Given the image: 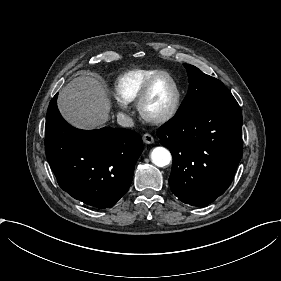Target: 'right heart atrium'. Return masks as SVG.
I'll use <instances>...</instances> for the list:
<instances>
[{
	"instance_id": "right-heart-atrium-1",
	"label": "right heart atrium",
	"mask_w": 281,
	"mask_h": 281,
	"mask_svg": "<svg viewBox=\"0 0 281 281\" xmlns=\"http://www.w3.org/2000/svg\"><path fill=\"white\" fill-rule=\"evenodd\" d=\"M119 109L125 114V115H129V111L127 108H125L122 105H118Z\"/></svg>"
}]
</instances>
